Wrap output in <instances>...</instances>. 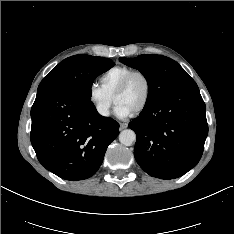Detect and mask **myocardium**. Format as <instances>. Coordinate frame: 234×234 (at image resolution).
<instances>
[{
	"mask_svg": "<svg viewBox=\"0 0 234 234\" xmlns=\"http://www.w3.org/2000/svg\"><path fill=\"white\" fill-rule=\"evenodd\" d=\"M135 76H141L143 77V79L146 82V94H145V98L142 102V104L132 113L133 115H139L140 113H142L148 106L150 100H151V96H152V82L150 77L141 70H134L132 71L130 74H128L124 80L120 83V85L117 87V89L115 90L112 99L113 102L115 103V99L121 95L122 93H124L127 88L129 87L132 79Z\"/></svg>",
	"mask_w": 234,
	"mask_h": 234,
	"instance_id": "obj_1",
	"label": "myocardium"
}]
</instances>
